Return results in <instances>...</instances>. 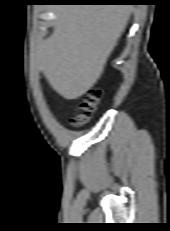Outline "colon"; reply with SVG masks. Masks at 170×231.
<instances>
[{"label": "colon", "mask_w": 170, "mask_h": 231, "mask_svg": "<svg viewBox=\"0 0 170 231\" xmlns=\"http://www.w3.org/2000/svg\"><path fill=\"white\" fill-rule=\"evenodd\" d=\"M102 98V90L100 88L90 89L83 98L77 116L72 120V125L79 127L86 123L97 110Z\"/></svg>", "instance_id": "colon-1"}]
</instances>
